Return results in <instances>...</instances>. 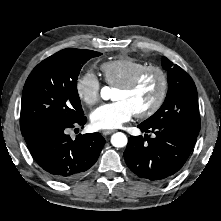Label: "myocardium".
<instances>
[{"mask_svg": "<svg viewBox=\"0 0 221 221\" xmlns=\"http://www.w3.org/2000/svg\"><path fill=\"white\" fill-rule=\"evenodd\" d=\"M149 72H155L159 76L160 90L151 106L141 112L135 113V116L140 119L148 118L154 115L163 105L169 91V77L166 71L158 65H146L137 71L129 80L116 87L117 89L123 91L131 90L136 87Z\"/></svg>", "mask_w": 221, "mask_h": 221, "instance_id": "f54148a6", "label": "myocardium"}]
</instances>
